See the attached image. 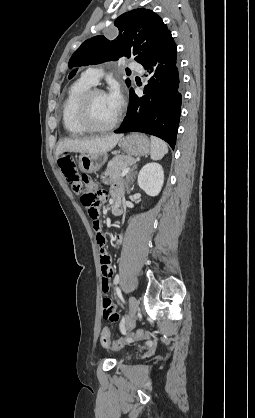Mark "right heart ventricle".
I'll use <instances>...</instances> for the list:
<instances>
[{
	"instance_id": "e07e8e85",
	"label": "right heart ventricle",
	"mask_w": 255,
	"mask_h": 418,
	"mask_svg": "<svg viewBox=\"0 0 255 418\" xmlns=\"http://www.w3.org/2000/svg\"><path fill=\"white\" fill-rule=\"evenodd\" d=\"M93 85L83 76L76 80L68 90L62 105V123L69 135L81 136L88 132L77 120V108L83 94Z\"/></svg>"
}]
</instances>
